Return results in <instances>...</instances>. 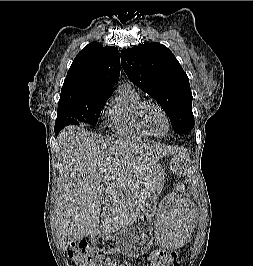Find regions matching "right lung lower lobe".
<instances>
[{
    "label": "right lung lower lobe",
    "mask_w": 253,
    "mask_h": 266,
    "mask_svg": "<svg viewBox=\"0 0 253 266\" xmlns=\"http://www.w3.org/2000/svg\"><path fill=\"white\" fill-rule=\"evenodd\" d=\"M60 130H61L60 128L55 127V134L58 135V133H59Z\"/></svg>",
    "instance_id": "98d812e1"
}]
</instances>
